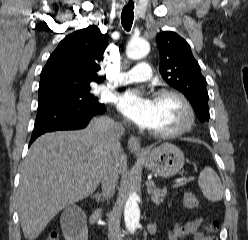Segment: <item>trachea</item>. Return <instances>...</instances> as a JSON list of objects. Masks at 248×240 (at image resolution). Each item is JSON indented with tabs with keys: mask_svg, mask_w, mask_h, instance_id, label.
<instances>
[{
	"mask_svg": "<svg viewBox=\"0 0 248 240\" xmlns=\"http://www.w3.org/2000/svg\"><path fill=\"white\" fill-rule=\"evenodd\" d=\"M133 9H134V3L129 2L126 6H124L121 13V23L126 31H130L133 24V19H134Z\"/></svg>",
	"mask_w": 248,
	"mask_h": 240,
	"instance_id": "trachea-1",
	"label": "trachea"
}]
</instances>
